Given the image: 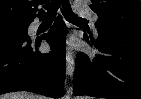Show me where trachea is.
Here are the masks:
<instances>
[{
  "instance_id": "obj_1",
  "label": "trachea",
  "mask_w": 141,
  "mask_h": 99,
  "mask_svg": "<svg viewBox=\"0 0 141 99\" xmlns=\"http://www.w3.org/2000/svg\"><path fill=\"white\" fill-rule=\"evenodd\" d=\"M62 7H61V5ZM61 7V11L63 16L69 21V22H77V23H85L87 22L86 19H83L81 17H78L71 9V5L69 3V0H52L51 3L44 6V8L47 10L45 20L52 21L55 18L56 11Z\"/></svg>"
}]
</instances>
